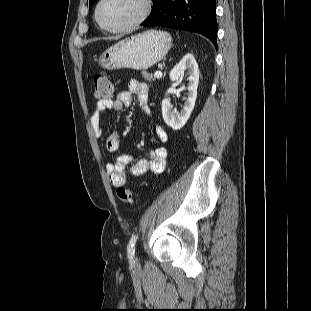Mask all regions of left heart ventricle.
<instances>
[{
	"label": "left heart ventricle",
	"instance_id": "obj_1",
	"mask_svg": "<svg viewBox=\"0 0 311 311\" xmlns=\"http://www.w3.org/2000/svg\"><path fill=\"white\" fill-rule=\"evenodd\" d=\"M140 11L138 0H105L100 8V19L109 27L117 28L134 20Z\"/></svg>",
	"mask_w": 311,
	"mask_h": 311
}]
</instances>
